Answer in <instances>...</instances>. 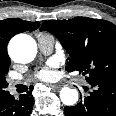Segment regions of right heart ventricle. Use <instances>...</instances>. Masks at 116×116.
<instances>
[{"mask_svg":"<svg viewBox=\"0 0 116 116\" xmlns=\"http://www.w3.org/2000/svg\"><path fill=\"white\" fill-rule=\"evenodd\" d=\"M39 35H42V36H51L49 34H46V33H38Z\"/></svg>","mask_w":116,"mask_h":116,"instance_id":"e07e8e85","label":"right heart ventricle"}]
</instances>
